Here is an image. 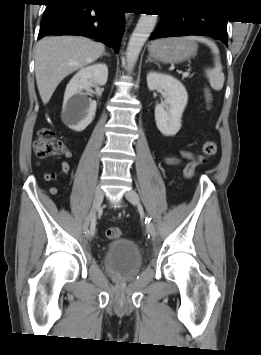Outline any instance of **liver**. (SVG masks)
<instances>
[{"mask_svg":"<svg viewBox=\"0 0 261 355\" xmlns=\"http://www.w3.org/2000/svg\"><path fill=\"white\" fill-rule=\"evenodd\" d=\"M105 46L85 37H44L36 45L35 75L43 104L51 99L59 83L101 55Z\"/></svg>","mask_w":261,"mask_h":355,"instance_id":"liver-1","label":"liver"}]
</instances>
